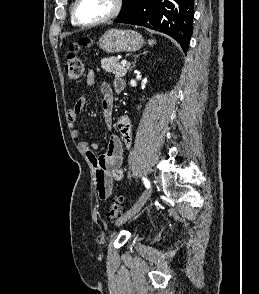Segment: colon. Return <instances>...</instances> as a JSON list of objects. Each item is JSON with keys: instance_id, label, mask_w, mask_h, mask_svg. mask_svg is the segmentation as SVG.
Segmentation results:
<instances>
[{"instance_id": "5ec220e1", "label": "colon", "mask_w": 259, "mask_h": 294, "mask_svg": "<svg viewBox=\"0 0 259 294\" xmlns=\"http://www.w3.org/2000/svg\"><path fill=\"white\" fill-rule=\"evenodd\" d=\"M90 44V39L82 38L77 43H74L70 46L65 63V75L67 79L71 81H80L83 78L84 65L78 56V52L81 48L88 47ZM122 207L123 197H115L108 209L107 218L109 220H114L117 218L121 212Z\"/></svg>"}]
</instances>
